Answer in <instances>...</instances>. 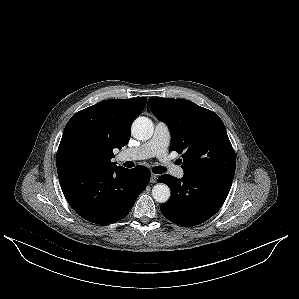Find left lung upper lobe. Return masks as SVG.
Segmentation results:
<instances>
[{"label":"left lung upper lobe","mask_w":299,"mask_h":299,"mask_svg":"<svg viewBox=\"0 0 299 299\" xmlns=\"http://www.w3.org/2000/svg\"><path fill=\"white\" fill-rule=\"evenodd\" d=\"M148 103L170 129V150L183 153L185 173L235 174V152L216 113L183 99L149 98Z\"/></svg>","instance_id":"left-lung-upper-lobe-1"}]
</instances>
